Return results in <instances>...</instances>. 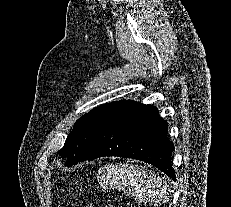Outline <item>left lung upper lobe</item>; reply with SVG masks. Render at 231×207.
Wrapping results in <instances>:
<instances>
[{
    "instance_id": "1",
    "label": "left lung upper lobe",
    "mask_w": 231,
    "mask_h": 207,
    "mask_svg": "<svg viewBox=\"0 0 231 207\" xmlns=\"http://www.w3.org/2000/svg\"><path fill=\"white\" fill-rule=\"evenodd\" d=\"M125 102L122 100L106 103L75 122L63 148L59 150V154L67 158L66 166L70 167L79 162L107 119Z\"/></svg>"
}]
</instances>
